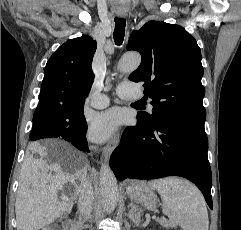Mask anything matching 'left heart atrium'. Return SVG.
Instances as JSON below:
<instances>
[{
  "instance_id": "1",
  "label": "left heart atrium",
  "mask_w": 241,
  "mask_h": 230,
  "mask_svg": "<svg viewBox=\"0 0 241 230\" xmlns=\"http://www.w3.org/2000/svg\"><path fill=\"white\" fill-rule=\"evenodd\" d=\"M120 120L115 108L94 115L89 125V137L98 142L106 141L115 133Z\"/></svg>"
}]
</instances>
